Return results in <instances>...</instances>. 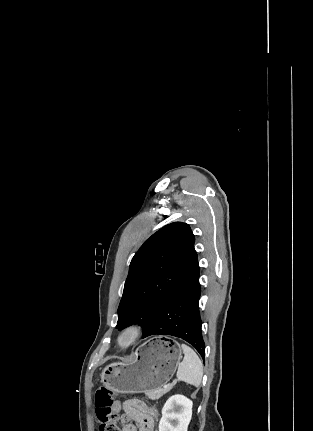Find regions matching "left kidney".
I'll return each instance as SVG.
<instances>
[{"label":"left kidney","mask_w":313,"mask_h":431,"mask_svg":"<svg viewBox=\"0 0 313 431\" xmlns=\"http://www.w3.org/2000/svg\"><path fill=\"white\" fill-rule=\"evenodd\" d=\"M193 402L183 395L171 396L162 408L159 431H187Z\"/></svg>","instance_id":"left-kidney-1"}]
</instances>
